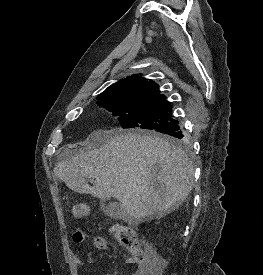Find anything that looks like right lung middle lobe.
Instances as JSON below:
<instances>
[{"label":"right lung middle lobe","instance_id":"right-lung-middle-lobe-1","mask_svg":"<svg viewBox=\"0 0 263 275\" xmlns=\"http://www.w3.org/2000/svg\"><path fill=\"white\" fill-rule=\"evenodd\" d=\"M97 99L100 106L119 116L124 129L158 132L178 122L173 118L170 103L163 96L133 97L124 92H113L100 95ZM166 139L177 146H185L182 140L174 136L166 134Z\"/></svg>","mask_w":263,"mask_h":275}]
</instances>
